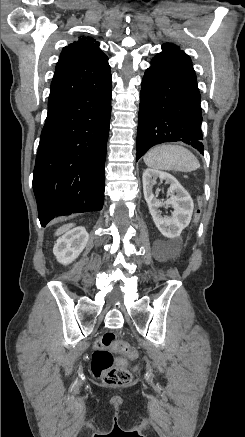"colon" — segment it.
Listing matches in <instances>:
<instances>
[{"label":"colon","instance_id":"obj_1","mask_svg":"<svg viewBox=\"0 0 245 437\" xmlns=\"http://www.w3.org/2000/svg\"><path fill=\"white\" fill-rule=\"evenodd\" d=\"M201 213L200 202L196 213V220L200 218ZM111 350L119 351L130 359H135L139 356V351L136 347L117 341L114 333L107 332L94 343L91 370L96 377H99L108 385H126L131 381V374L125 368L114 366V357Z\"/></svg>","mask_w":245,"mask_h":437}]
</instances>
